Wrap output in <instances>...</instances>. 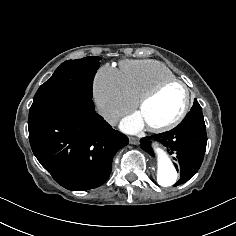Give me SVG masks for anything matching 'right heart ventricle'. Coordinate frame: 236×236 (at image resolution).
<instances>
[{
  "label": "right heart ventricle",
  "instance_id": "1",
  "mask_svg": "<svg viewBox=\"0 0 236 236\" xmlns=\"http://www.w3.org/2000/svg\"><path fill=\"white\" fill-rule=\"evenodd\" d=\"M121 68L127 90L134 101H138L158 82L176 78L167 65L155 60H125Z\"/></svg>",
  "mask_w": 236,
  "mask_h": 236
}]
</instances>
